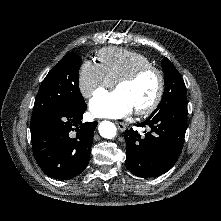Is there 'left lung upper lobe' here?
I'll use <instances>...</instances> for the list:
<instances>
[{
    "mask_svg": "<svg viewBox=\"0 0 221 221\" xmlns=\"http://www.w3.org/2000/svg\"><path fill=\"white\" fill-rule=\"evenodd\" d=\"M162 66L165 78L164 95L150 116L163 114L176 106L187 105L186 87L181 75L168 58L162 60Z\"/></svg>",
    "mask_w": 221,
    "mask_h": 221,
    "instance_id": "left-lung-upper-lobe-1",
    "label": "left lung upper lobe"
}]
</instances>
